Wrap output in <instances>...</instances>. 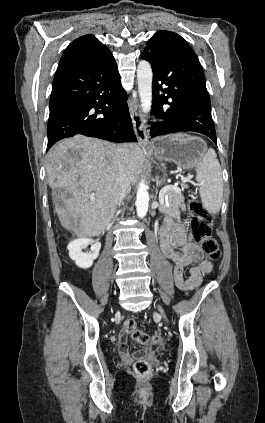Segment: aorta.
<instances>
[{"mask_svg": "<svg viewBox=\"0 0 265 423\" xmlns=\"http://www.w3.org/2000/svg\"><path fill=\"white\" fill-rule=\"evenodd\" d=\"M152 80L153 73L150 63L148 61L141 60L137 67V81L141 107L144 113H148L151 110ZM135 205L137 216L139 218H144L149 206V194L144 180H141L138 185Z\"/></svg>", "mask_w": 265, "mask_h": 423, "instance_id": "obj_1", "label": "aorta"}]
</instances>
